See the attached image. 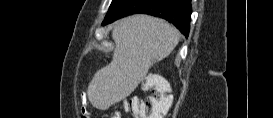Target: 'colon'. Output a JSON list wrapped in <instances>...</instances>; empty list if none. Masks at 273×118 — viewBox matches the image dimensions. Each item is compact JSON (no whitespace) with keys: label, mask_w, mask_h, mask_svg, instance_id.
Masks as SVG:
<instances>
[{"label":"colon","mask_w":273,"mask_h":118,"mask_svg":"<svg viewBox=\"0 0 273 118\" xmlns=\"http://www.w3.org/2000/svg\"><path fill=\"white\" fill-rule=\"evenodd\" d=\"M146 86L152 88L154 94L145 98L132 97L125 100L123 109L131 112L136 118H161L166 114L172 104L173 98L167 93L169 86L165 82H159L158 86H154L151 78L146 79ZM85 112L83 118H87Z\"/></svg>","instance_id":"colon-1"}]
</instances>
